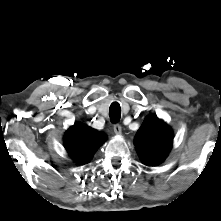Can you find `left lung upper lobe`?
<instances>
[{"mask_svg": "<svg viewBox=\"0 0 221 221\" xmlns=\"http://www.w3.org/2000/svg\"><path fill=\"white\" fill-rule=\"evenodd\" d=\"M172 130L156 115H149L139 128L134 144L145 165L162 163L172 146Z\"/></svg>", "mask_w": 221, "mask_h": 221, "instance_id": "left-lung-upper-lobe-1", "label": "left lung upper lobe"}]
</instances>
